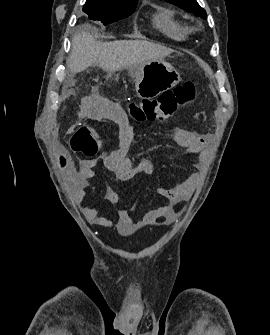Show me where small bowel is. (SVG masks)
Instances as JSON below:
<instances>
[{"label":"small bowel","mask_w":270,"mask_h":335,"mask_svg":"<svg viewBox=\"0 0 270 335\" xmlns=\"http://www.w3.org/2000/svg\"><path fill=\"white\" fill-rule=\"evenodd\" d=\"M95 117L98 119H110L119 127V148L110 153H103L100 156L106 168L121 182L128 181L140 174L150 175L153 172V164L151 161L141 159L137 163H133L128 157V150L134 140V131L122 108L115 103H111L98 111ZM175 139L179 145L186 149V153L189 157H193L197 154L200 155L199 161L195 163V166L201 168L206 158L208 137L176 128ZM48 149L49 151H58L59 146L58 144H49ZM52 161H57V164L60 165V173H72L73 169L79 168L75 175V183L77 186L75 198L77 202H81L85 196L88 181L94 176V167L97 164V160L83 159L78 163L76 162V158H72L71 154H52ZM199 178V173H193L187 179L172 187L157 188V193L166 199V203L147 211L142 218L143 225L148 226L159 220L171 219L174 214L175 206L190 195L199 181ZM105 198L114 206L120 202L118 192L111 187L105 189ZM82 214L94 225L103 228H110L114 225L113 220L108 216L100 214L96 207H84ZM116 214V229L120 233L127 232L131 227V215L129 211L124 208H118Z\"/></svg>","instance_id":"obj_1"}]
</instances>
